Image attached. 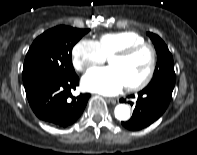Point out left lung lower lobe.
Instances as JSON below:
<instances>
[{
    "label": "left lung lower lobe",
    "instance_id": "left-lung-lower-lobe-1",
    "mask_svg": "<svg viewBox=\"0 0 197 155\" xmlns=\"http://www.w3.org/2000/svg\"><path fill=\"white\" fill-rule=\"evenodd\" d=\"M172 91L165 87L144 88L138 93V99L131 119L122 122V125L133 131L151 125L166 110L171 100ZM123 101L126 100L120 99V102Z\"/></svg>",
    "mask_w": 197,
    "mask_h": 155
}]
</instances>
